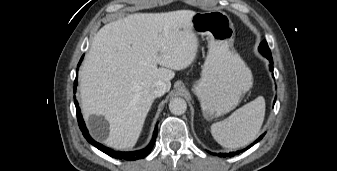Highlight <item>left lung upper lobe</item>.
Segmentation results:
<instances>
[{"label": "left lung upper lobe", "instance_id": "obj_1", "mask_svg": "<svg viewBox=\"0 0 337 171\" xmlns=\"http://www.w3.org/2000/svg\"><path fill=\"white\" fill-rule=\"evenodd\" d=\"M259 51H260L265 57L271 56V52H270V49H269L268 44H267L266 41H263V42L260 43Z\"/></svg>", "mask_w": 337, "mask_h": 171}]
</instances>
